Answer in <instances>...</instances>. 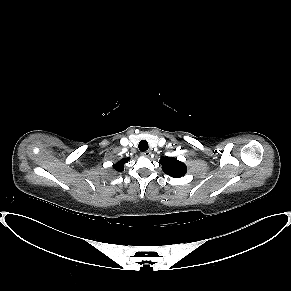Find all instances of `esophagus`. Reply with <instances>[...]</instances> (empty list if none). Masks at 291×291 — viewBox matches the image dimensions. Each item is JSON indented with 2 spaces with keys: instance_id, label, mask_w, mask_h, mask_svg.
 Returning <instances> with one entry per match:
<instances>
[{
  "instance_id": "34e87169",
  "label": "esophagus",
  "mask_w": 291,
  "mask_h": 291,
  "mask_svg": "<svg viewBox=\"0 0 291 291\" xmlns=\"http://www.w3.org/2000/svg\"><path fill=\"white\" fill-rule=\"evenodd\" d=\"M142 155L145 157H149L151 155V152L149 150L142 152Z\"/></svg>"
}]
</instances>
